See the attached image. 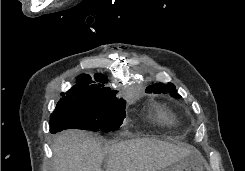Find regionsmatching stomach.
I'll return each mask as SVG.
<instances>
[{
  "label": "stomach",
  "mask_w": 245,
  "mask_h": 171,
  "mask_svg": "<svg viewBox=\"0 0 245 171\" xmlns=\"http://www.w3.org/2000/svg\"><path fill=\"white\" fill-rule=\"evenodd\" d=\"M160 171H204L203 166L199 161L194 160L191 156H188L180 160L177 164L170 168H164Z\"/></svg>",
  "instance_id": "1"
}]
</instances>
